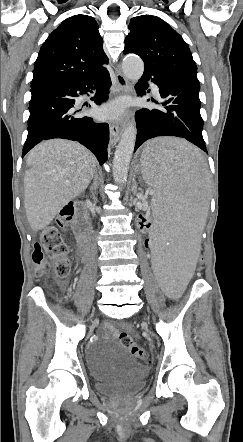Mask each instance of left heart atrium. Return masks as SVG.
I'll return each mask as SVG.
<instances>
[{"label":"left heart atrium","instance_id":"left-heart-atrium-1","mask_svg":"<svg viewBox=\"0 0 243 442\" xmlns=\"http://www.w3.org/2000/svg\"><path fill=\"white\" fill-rule=\"evenodd\" d=\"M125 103L122 101H116L104 106L99 114L103 118H117L121 116L125 111Z\"/></svg>","mask_w":243,"mask_h":442}]
</instances>
